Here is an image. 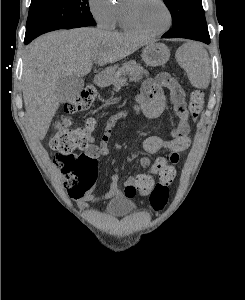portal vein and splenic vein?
Masks as SVG:
<instances>
[{"instance_id":"18ae733b","label":"portal vein and splenic vein","mask_w":245,"mask_h":300,"mask_svg":"<svg viewBox=\"0 0 245 300\" xmlns=\"http://www.w3.org/2000/svg\"><path fill=\"white\" fill-rule=\"evenodd\" d=\"M93 61L95 62V61H97V59H94Z\"/></svg>"}]
</instances>
